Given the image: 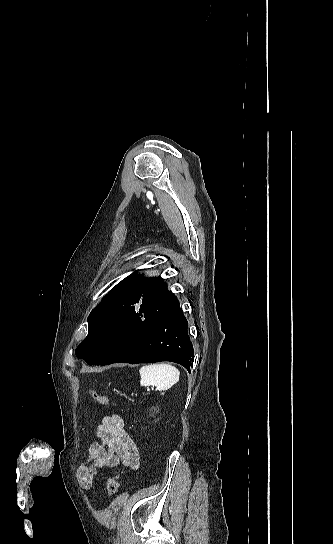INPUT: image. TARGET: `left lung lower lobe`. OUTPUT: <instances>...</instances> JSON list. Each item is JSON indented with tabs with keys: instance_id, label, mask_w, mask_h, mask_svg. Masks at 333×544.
Returning a JSON list of instances; mask_svg holds the SVG:
<instances>
[{
	"instance_id": "1",
	"label": "left lung lower lobe",
	"mask_w": 333,
	"mask_h": 544,
	"mask_svg": "<svg viewBox=\"0 0 333 544\" xmlns=\"http://www.w3.org/2000/svg\"><path fill=\"white\" fill-rule=\"evenodd\" d=\"M96 340L100 341L98 338ZM101 354L102 359L96 365L172 361L189 371L194 361V349L188 336V322L179 302L155 321L135 324L121 355L115 356L106 348H101Z\"/></svg>"
}]
</instances>
